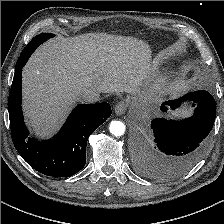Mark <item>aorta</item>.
<instances>
[{
  "label": "aorta",
  "mask_w": 224,
  "mask_h": 224,
  "mask_svg": "<svg viewBox=\"0 0 224 224\" xmlns=\"http://www.w3.org/2000/svg\"><path fill=\"white\" fill-rule=\"evenodd\" d=\"M109 130L114 136H121L125 132V125L121 121H111Z\"/></svg>",
  "instance_id": "aorta-1"
}]
</instances>
